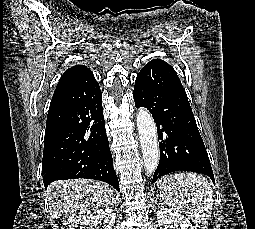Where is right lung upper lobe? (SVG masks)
<instances>
[{
    "label": "right lung upper lobe",
    "mask_w": 255,
    "mask_h": 229,
    "mask_svg": "<svg viewBox=\"0 0 255 229\" xmlns=\"http://www.w3.org/2000/svg\"><path fill=\"white\" fill-rule=\"evenodd\" d=\"M86 69V66H83V65H76L74 67H71L69 69H67L64 74L62 75L56 89H55V92H54V95L53 97L59 95L63 88H64V84L69 80L70 77L78 74L79 72L83 71Z\"/></svg>",
    "instance_id": "cb5924a9"
}]
</instances>
